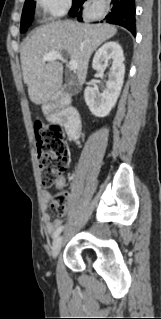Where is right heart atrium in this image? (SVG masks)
<instances>
[{"label":"right heart atrium","mask_w":161,"mask_h":319,"mask_svg":"<svg viewBox=\"0 0 161 319\" xmlns=\"http://www.w3.org/2000/svg\"><path fill=\"white\" fill-rule=\"evenodd\" d=\"M72 0H37L45 17L49 20L63 15L71 5Z\"/></svg>","instance_id":"d8ad5b80"}]
</instances>
